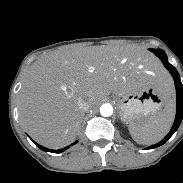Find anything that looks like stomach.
<instances>
[{
    "label": "stomach",
    "instance_id": "1",
    "mask_svg": "<svg viewBox=\"0 0 183 183\" xmlns=\"http://www.w3.org/2000/svg\"><path fill=\"white\" fill-rule=\"evenodd\" d=\"M134 82L129 92L117 95V103L123 121L136 123L158 112L167 101L156 85L147 81L153 76L145 64H133L129 68Z\"/></svg>",
    "mask_w": 183,
    "mask_h": 183
}]
</instances>
